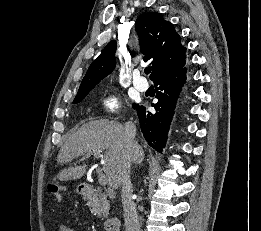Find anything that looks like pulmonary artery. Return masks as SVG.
<instances>
[{
  "label": "pulmonary artery",
  "mask_w": 261,
  "mask_h": 231,
  "mask_svg": "<svg viewBox=\"0 0 261 231\" xmlns=\"http://www.w3.org/2000/svg\"><path fill=\"white\" fill-rule=\"evenodd\" d=\"M133 84L140 91H146L147 88H148L147 81L143 77H141L139 75L135 76V78L133 80Z\"/></svg>",
  "instance_id": "1"
}]
</instances>
